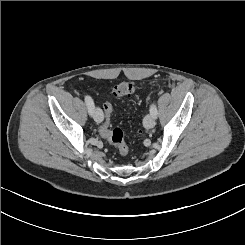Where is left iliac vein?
<instances>
[{"label": "left iliac vein", "instance_id": "left-iliac-vein-1", "mask_svg": "<svg viewBox=\"0 0 245 245\" xmlns=\"http://www.w3.org/2000/svg\"><path fill=\"white\" fill-rule=\"evenodd\" d=\"M144 127L146 129H151L155 126V120H154V117L152 115H146L145 118H144Z\"/></svg>", "mask_w": 245, "mask_h": 245}]
</instances>
